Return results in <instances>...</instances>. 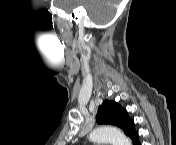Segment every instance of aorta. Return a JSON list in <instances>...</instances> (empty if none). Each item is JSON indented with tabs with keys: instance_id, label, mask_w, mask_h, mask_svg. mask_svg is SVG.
Returning a JSON list of instances; mask_svg holds the SVG:
<instances>
[{
	"instance_id": "obj_1",
	"label": "aorta",
	"mask_w": 176,
	"mask_h": 145,
	"mask_svg": "<svg viewBox=\"0 0 176 145\" xmlns=\"http://www.w3.org/2000/svg\"><path fill=\"white\" fill-rule=\"evenodd\" d=\"M94 143H110L112 145H131V141L117 128L100 126L89 135Z\"/></svg>"
}]
</instances>
